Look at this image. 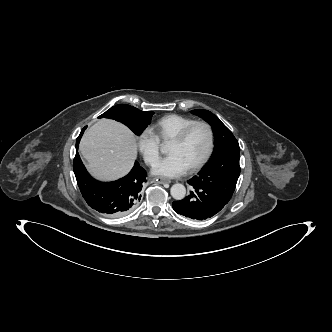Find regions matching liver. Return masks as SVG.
I'll use <instances>...</instances> for the list:
<instances>
[{
  "instance_id": "6515ba94",
  "label": "liver",
  "mask_w": 332,
  "mask_h": 332,
  "mask_svg": "<svg viewBox=\"0 0 332 332\" xmlns=\"http://www.w3.org/2000/svg\"><path fill=\"white\" fill-rule=\"evenodd\" d=\"M80 152L89 173L96 179L113 181L125 176L137 155L133 133L123 124L102 119L83 135Z\"/></svg>"
}]
</instances>
